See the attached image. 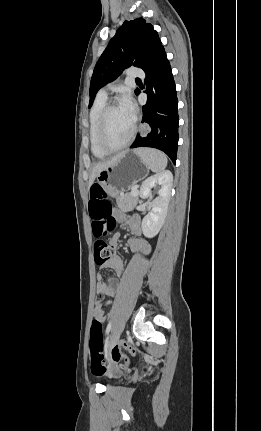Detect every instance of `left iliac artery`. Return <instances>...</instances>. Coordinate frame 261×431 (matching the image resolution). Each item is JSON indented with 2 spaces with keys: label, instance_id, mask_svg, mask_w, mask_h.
Masks as SVG:
<instances>
[{
  "label": "left iliac artery",
  "instance_id": "obj_1",
  "mask_svg": "<svg viewBox=\"0 0 261 431\" xmlns=\"http://www.w3.org/2000/svg\"><path fill=\"white\" fill-rule=\"evenodd\" d=\"M110 330H111V322H109L107 325L106 334H109Z\"/></svg>",
  "mask_w": 261,
  "mask_h": 431
}]
</instances>
